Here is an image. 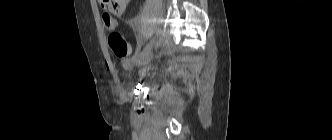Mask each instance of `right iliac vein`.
<instances>
[{
  "instance_id": "right-iliac-vein-1",
  "label": "right iliac vein",
  "mask_w": 332,
  "mask_h": 140,
  "mask_svg": "<svg viewBox=\"0 0 332 140\" xmlns=\"http://www.w3.org/2000/svg\"><path fill=\"white\" fill-rule=\"evenodd\" d=\"M153 44H154V39H151L150 42L145 47V49L143 50L140 57L136 61V64L138 66H144L150 62V60L152 58L151 50H152Z\"/></svg>"
}]
</instances>
